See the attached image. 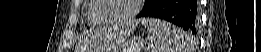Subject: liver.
Segmentation results:
<instances>
[{"label":"liver","mask_w":261,"mask_h":52,"mask_svg":"<svg viewBox=\"0 0 261 52\" xmlns=\"http://www.w3.org/2000/svg\"><path fill=\"white\" fill-rule=\"evenodd\" d=\"M130 31H131V28H128V29L125 30V33L127 34V33H129Z\"/></svg>","instance_id":"liver-1"}]
</instances>
